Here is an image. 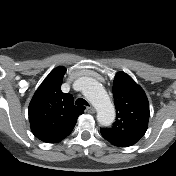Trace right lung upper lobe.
<instances>
[{
	"mask_svg": "<svg viewBox=\"0 0 176 176\" xmlns=\"http://www.w3.org/2000/svg\"><path fill=\"white\" fill-rule=\"evenodd\" d=\"M66 69L52 70L35 92L29 104L32 133L47 143H58L73 130L84 106H75L73 96L61 91Z\"/></svg>",
	"mask_w": 176,
	"mask_h": 176,
	"instance_id": "obj_1",
	"label": "right lung upper lobe"
}]
</instances>
